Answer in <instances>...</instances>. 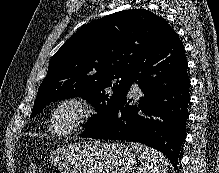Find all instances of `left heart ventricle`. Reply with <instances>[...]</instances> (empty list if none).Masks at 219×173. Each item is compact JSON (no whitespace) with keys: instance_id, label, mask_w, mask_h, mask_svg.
<instances>
[{"instance_id":"left-heart-ventricle-1","label":"left heart ventricle","mask_w":219,"mask_h":173,"mask_svg":"<svg viewBox=\"0 0 219 173\" xmlns=\"http://www.w3.org/2000/svg\"><path fill=\"white\" fill-rule=\"evenodd\" d=\"M75 116V110L73 107L65 106L58 110L56 114V124L59 130L66 129Z\"/></svg>"}]
</instances>
